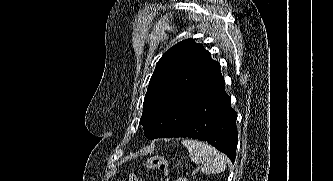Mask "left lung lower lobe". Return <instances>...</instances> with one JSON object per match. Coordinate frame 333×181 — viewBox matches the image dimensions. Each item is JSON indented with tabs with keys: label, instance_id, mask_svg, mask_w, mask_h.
I'll return each mask as SVG.
<instances>
[{
	"label": "left lung lower lobe",
	"instance_id": "left-lung-lower-lobe-1",
	"mask_svg": "<svg viewBox=\"0 0 333 181\" xmlns=\"http://www.w3.org/2000/svg\"><path fill=\"white\" fill-rule=\"evenodd\" d=\"M224 85L223 79L207 103L186 122L180 124V130L172 137H188L207 141L226 154L234 163L238 137L237 113L230 106L231 98L226 94Z\"/></svg>",
	"mask_w": 333,
	"mask_h": 181
}]
</instances>
